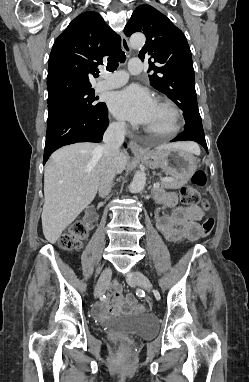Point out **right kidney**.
I'll list each match as a JSON object with an SVG mask.
<instances>
[{"instance_id":"right-kidney-1","label":"right kidney","mask_w":249,"mask_h":382,"mask_svg":"<svg viewBox=\"0 0 249 382\" xmlns=\"http://www.w3.org/2000/svg\"><path fill=\"white\" fill-rule=\"evenodd\" d=\"M98 207L95 204H90L88 209L85 211V217L83 218V223L89 227L90 230L96 229V224L98 223Z\"/></svg>"}]
</instances>
